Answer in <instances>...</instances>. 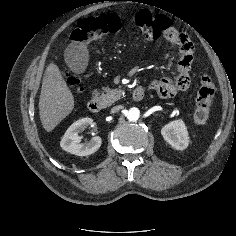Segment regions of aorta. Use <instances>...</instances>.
Returning <instances> with one entry per match:
<instances>
[{
  "label": "aorta",
  "mask_w": 236,
  "mask_h": 236,
  "mask_svg": "<svg viewBox=\"0 0 236 236\" xmlns=\"http://www.w3.org/2000/svg\"><path fill=\"white\" fill-rule=\"evenodd\" d=\"M139 117H140V111L138 108L134 107V108H131L128 110L127 119L129 121H132V122L137 121L139 119Z\"/></svg>",
  "instance_id": "aorta-1"
}]
</instances>
